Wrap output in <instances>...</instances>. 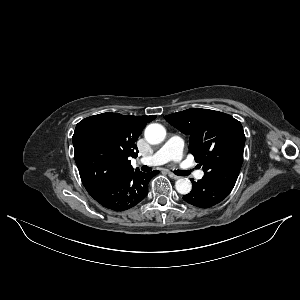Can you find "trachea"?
I'll return each instance as SVG.
<instances>
[{
	"instance_id": "1",
	"label": "trachea",
	"mask_w": 300,
	"mask_h": 300,
	"mask_svg": "<svg viewBox=\"0 0 300 300\" xmlns=\"http://www.w3.org/2000/svg\"><path fill=\"white\" fill-rule=\"evenodd\" d=\"M141 169L144 172H150L152 170L151 167L146 166V165L142 166ZM174 173L179 176H187L191 173V171L190 170H177V171H174Z\"/></svg>"
}]
</instances>
